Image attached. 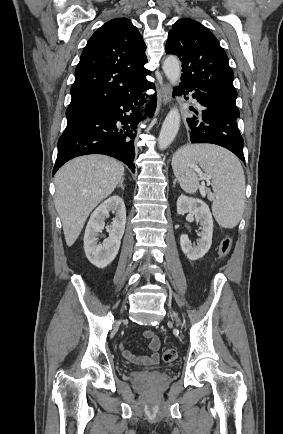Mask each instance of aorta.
Here are the masks:
<instances>
[{"instance_id": "762f6f07", "label": "aorta", "mask_w": 283, "mask_h": 434, "mask_svg": "<svg viewBox=\"0 0 283 434\" xmlns=\"http://www.w3.org/2000/svg\"><path fill=\"white\" fill-rule=\"evenodd\" d=\"M163 70L172 86H177L181 77L180 61L175 56H168L163 62ZM180 127V113L173 107L167 114L158 138L160 150L166 149L176 137Z\"/></svg>"}]
</instances>
